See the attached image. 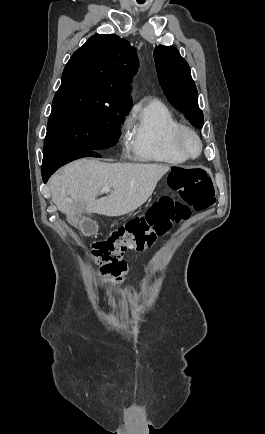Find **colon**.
<instances>
[{"label": "colon", "mask_w": 265, "mask_h": 434, "mask_svg": "<svg viewBox=\"0 0 265 434\" xmlns=\"http://www.w3.org/2000/svg\"><path fill=\"white\" fill-rule=\"evenodd\" d=\"M169 169V188L181 194V201L163 197L146 214L116 227L92 244L94 263L102 268L103 280L119 283L124 279L126 263L121 259L130 250L153 247L178 224L190 217L192 207L201 211L215 202L210 172L202 164H179Z\"/></svg>", "instance_id": "obj_1"}]
</instances>
